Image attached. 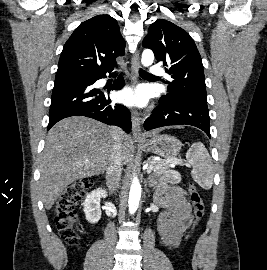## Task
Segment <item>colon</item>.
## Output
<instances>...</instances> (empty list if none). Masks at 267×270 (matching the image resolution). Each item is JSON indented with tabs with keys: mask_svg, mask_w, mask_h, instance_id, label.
Returning <instances> with one entry per match:
<instances>
[{
	"mask_svg": "<svg viewBox=\"0 0 267 270\" xmlns=\"http://www.w3.org/2000/svg\"><path fill=\"white\" fill-rule=\"evenodd\" d=\"M91 187L87 178L79 179L69 185L59 196L55 206V224L63 240L69 245L78 241L79 215L77 205L84 199ZM194 209V224L196 227L205 214V203L194 183L188 187Z\"/></svg>",
	"mask_w": 267,
	"mask_h": 270,
	"instance_id": "5ec220e1",
	"label": "colon"
}]
</instances>
